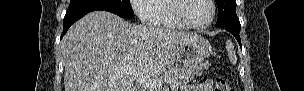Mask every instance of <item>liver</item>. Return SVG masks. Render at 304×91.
Instances as JSON below:
<instances>
[{
    "label": "liver",
    "mask_w": 304,
    "mask_h": 91,
    "mask_svg": "<svg viewBox=\"0 0 304 91\" xmlns=\"http://www.w3.org/2000/svg\"><path fill=\"white\" fill-rule=\"evenodd\" d=\"M201 36L131 24L107 11L74 23L62 40L65 91H133L134 75L156 77L181 48ZM126 67L133 74L118 75Z\"/></svg>",
    "instance_id": "liver-1"
}]
</instances>
